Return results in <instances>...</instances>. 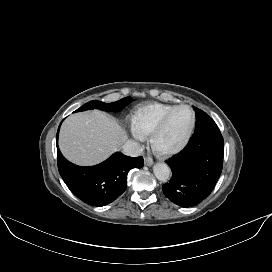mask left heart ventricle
Instances as JSON below:
<instances>
[{
    "instance_id": "b2bd125f",
    "label": "left heart ventricle",
    "mask_w": 272,
    "mask_h": 272,
    "mask_svg": "<svg viewBox=\"0 0 272 272\" xmlns=\"http://www.w3.org/2000/svg\"><path fill=\"white\" fill-rule=\"evenodd\" d=\"M191 123V113L187 109L176 111L168 121L159 138L162 146L170 147L177 144L187 132Z\"/></svg>"
}]
</instances>
